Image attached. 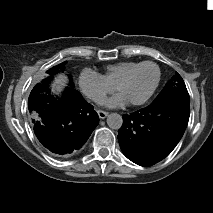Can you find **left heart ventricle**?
<instances>
[{"mask_svg": "<svg viewBox=\"0 0 213 213\" xmlns=\"http://www.w3.org/2000/svg\"><path fill=\"white\" fill-rule=\"evenodd\" d=\"M156 79V70L152 66H144L132 74L120 88L128 102L145 97L152 89Z\"/></svg>", "mask_w": 213, "mask_h": 213, "instance_id": "1", "label": "left heart ventricle"}]
</instances>
